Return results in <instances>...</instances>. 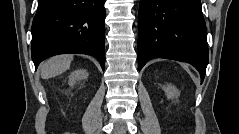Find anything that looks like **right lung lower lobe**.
<instances>
[{"mask_svg":"<svg viewBox=\"0 0 239 134\" xmlns=\"http://www.w3.org/2000/svg\"><path fill=\"white\" fill-rule=\"evenodd\" d=\"M106 0H39L32 24V60L63 53L94 56L104 70Z\"/></svg>","mask_w":239,"mask_h":134,"instance_id":"right-lung-lower-lobe-1","label":"right lung lower lobe"}]
</instances>
